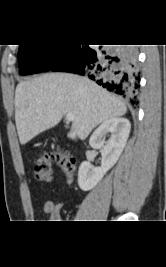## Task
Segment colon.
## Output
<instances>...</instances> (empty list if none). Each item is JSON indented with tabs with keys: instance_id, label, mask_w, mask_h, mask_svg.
<instances>
[{
	"instance_id": "1",
	"label": "colon",
	"mask_w": 166,
	"mask_h": 267,
	"mask_svg": "<svg viewBox=\"0 0 166 267\" xmlns=\"http://www.w3.org/2000/svg\"><path fill=\"white\" fill-rule=\"evenodd\" d=\"M56 163L64 172L71 176L74 172V159L64 151H49L43 153L35 162L34 172L39 181H49L52 176V165Z\"/></svg>"
}]
</instances>
